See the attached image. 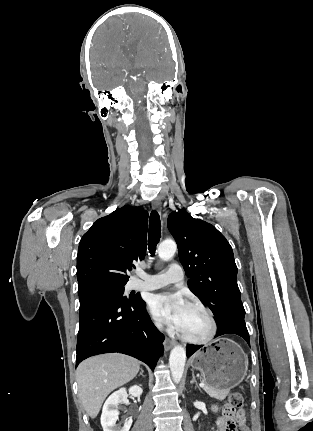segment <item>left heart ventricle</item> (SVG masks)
Here are the masks:
<instances>
[{
  "mask_svg": "<svg viewBox=\"0 0 313 431\" xmlns=\"http://www.w3.org/2000/svg\"><path fill=\"white\" fill-rule=\"evenodd\" d=\"M211 329L207 315L193 307H188L184 317V324L181 333L190 338H204Z\"/></svg>",
  "mask_w": 313,
  "mask_h": 431,
  "instance_id": "b2bd125f",
  "label": "left heart ventricle"
}]
</instances>
